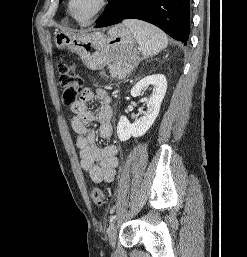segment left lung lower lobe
<instances>
[{"label":"left lung lower lobe","instance_id":"obj_1","mask_svg":"<svg viewBox=\"0 0 247 257\" xmlns=\"http://www.w3.org/2000/svg\"><path fill=\"white\" fill-rule=\"evenodd\" d=\"M109 5L98 18L95 28L140 19L162 29L187 45L190 31L189 0H108Z\"/></svg>","mask_w":247,"mask_h":257}]
</instances>
